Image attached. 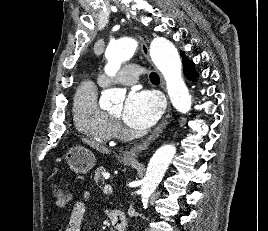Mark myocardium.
<instances>
[{"label":"myocardium","mask_w":268,"mask_h":231,"mask_svg":"<svg viewBox=\"0 0 268 231\" xmlns=\"http://www.w3.org/2000/svg\"><path fill=\"white\" fill-rule=\"evenodd\" d=\"M110 117L114 120V121H118L119 120V116H115L111 113H109Z\"/></svg>","instance_id":"obj_1"}]
</instances>
